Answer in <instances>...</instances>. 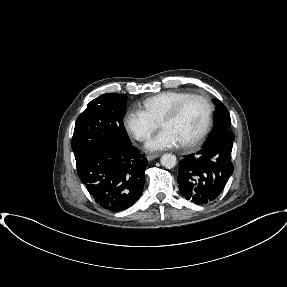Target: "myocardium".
Here are the masks:
<instances>
[{
	"mask_svg": "<svg viewBox=\"0 0 287 287\" xmlns=\"http://www.w3.org/2000/svg\"><path fill=\"white\" fill-rule=\"evenodd\" d=\"M190 100H200L204 106H205V119H204V123L203 126L201 128V130L199 131V133L193 137L192 139L181 143L183 147L186 148H194L197 147L198 145H200L203 140L206 138V136L208 135L211 126H212V118H213V106L212 103L210 102V100L201 94H189L187 96H185L184 98L180 99L179 101H177L161 118L160 122L165 120V119H173L175 118L180 111L182 110V108L184 107V105L189 102Z\"/></svg>",
	"mask_w": 287,
	"mask_h": 287,
	"instance_id": "myocardium-1",
	"label": "myocardium"
}]
</instances>
